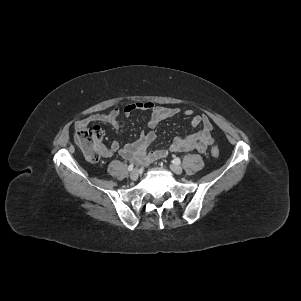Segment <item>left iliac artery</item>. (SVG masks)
I'll return each mask as SVG.
<instances>
[{"mask_svg": "<svg viewBox=\"0 0 301 301\" xmlns=\"http://www.w3.org/2000/svg\"><path fill=\"white\" fill-rule=\"evenodd\" d=\"M173 163H174V164H177V165L180 164V163H181L180 158H178V157L175 158V159L173 160Z\"/></svg>", "mask_w": 301, "mask_h": 301, "instance_id": "1", "label": "left iliac artery"}]
</instances>
